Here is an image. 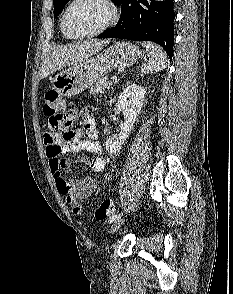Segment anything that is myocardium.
<instances>
[{"mask_svg": "<svg viewBox=\"0 0 233 294\" xmlns=\"http://www.w3.org/2000/svg\"><path fill=\"white\" fill-rule=\"evenodd\" d=\"M81 0H72L68 6L65 8L62 18H61V27L62 30L64 31V33L72 39H77V40H83V39H88V38H92V37H96L98 35H101L102 33H104L105 31H107L110 27H112L117 19H118V10L116 5L114 4V2L112 0H98L101 4H103L107 10H108V18L105 21V23L99 27L98 29L87 33V34H83V35H75L72 34L66 25V18L68 15V12L70 11V9L78 2H80Z\"/></svg>", "mask_w": 233, "mask_h": 294, "instance_id": "myocardium-1", "label": "myocardium"}]
</instances>
